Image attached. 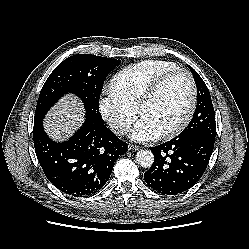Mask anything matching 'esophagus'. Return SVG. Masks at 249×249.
<instances>
[{
  "label": "esophagus",
  "instance_id": "obj_1",
  "mask_svg": "<svg viewBox=\"0 0 249 249\" xmlns=\"http://www.w3.org/2000/svg\"><path fill=\"white\" fill-rule=\"evenodd\" d=\"M128 149H129L130 151H137V150H139V146L133 145V144H129V145H128Z\"/></svg>",
  "mask_w": 249,
  "mask_h": 249
}]
</instances>
